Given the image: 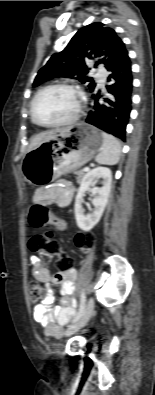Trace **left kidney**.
<instances>
[{"label":"left kidney","instance_id":"obj_1","mask_svg":"<svg viewBox=\"0 0 155 395\" xmlns=\"http://www.w3.org/2000/svg\"><path fill=\"white\" fill-rule=\"evenodd\" d=\"M97 178L103 179V186L101 188L92 189L94 198L92 204L94 211L87 215L84 214L85 210L82 207L83 197L85 192L90 190ZM112 173L107 167H97L88 171L82 178L79 192L75 199V219L77 226L83 231L91 230L100 220L104 209L108 202V197L111 190Z\"/></svg>","mask_w":155,"mask_h":395}]
</instances>
